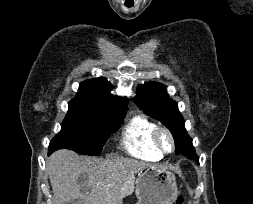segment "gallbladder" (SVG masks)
I'll list each match as a JSON object with an SVG mask.
<instances>
[{
    "label": "gallbladder",
    "mask_w": 253,
    "mask_h": 204,
    "mask_svg": "<svg viewBox=\"0 0 253 204\" xmlns=\"http://www.w3.org/2000/svg\"><path fill=\"white\" fill-rule=\"evenodd\" d=\"M66 204H77V203H76V201H70V202H68Z\"/></svg>",
    "instance_id": "obj_1"
}]
</instances>
